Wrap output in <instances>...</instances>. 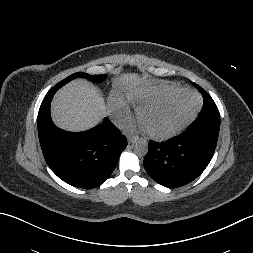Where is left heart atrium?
<instances>
[{
    "instance_id": "1",
    "label": "left heart atrium",
    "mask_w": 253,
    "mask_h": 253,
    "mask_svg": "<svg viewBox=\"0 0 253 253\" xmlns=\"http://www.w3.org/2000/svg\"><path fill=\"white\" fill-rule=\"evenodd\" d=\"M141 127H142V128H145V126H144L143 124L141 125Z\"/></svg>"
}]
</instances>
